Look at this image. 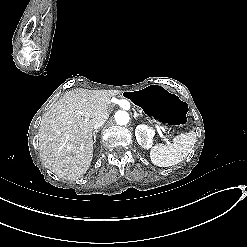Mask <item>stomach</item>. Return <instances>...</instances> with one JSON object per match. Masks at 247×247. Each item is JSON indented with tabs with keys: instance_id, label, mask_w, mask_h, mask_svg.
<instances>
[{
	"instance_id": "0dacf381",
	"label": "stomach",
	"mask_w": 247,
	"mask_h": 247,
	"mask_svg": "<svg viewBox=\"0 0 247 247\" xmlns=\"http://www.w3.org/2000/svg\"><path fill=\"white\" fill-rule=\"evenodd\" d=\"M151 120L166 127H180L187 121L188 105L178 94L159 85H150L123 94Z\"/></svg>"
}]
</instances>
